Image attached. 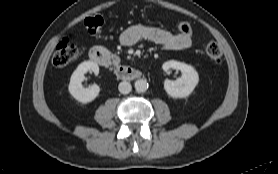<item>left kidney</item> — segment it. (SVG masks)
Listing matches in <instances>:
<instances>
[{
    "label": "left kidney",
    "mask_w": 278,
    "mask_h": 174,
    "mask_svg": "<svg viewBox=\"0 0 278 174\" xmlns=\"http://www.w3.org/2000/svg\"><path fill=\"white\" fill-rule=\"evenodd\" d=\"M165 72L170 69L180 70L182 76L175 81L166 79L164 89L172 98L188 97L199 82L198 72L191 66L175 60H170L162 65Z\"/></svg>",
    "instance_id": "obj_1"
}]
</instances>
